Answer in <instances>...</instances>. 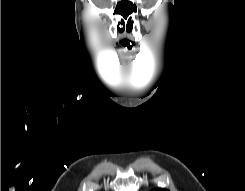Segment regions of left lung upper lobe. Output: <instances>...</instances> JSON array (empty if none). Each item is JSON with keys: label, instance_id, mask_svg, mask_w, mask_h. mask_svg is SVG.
<instances>
[{"label": "left lung upper lobe", "instance_id": "5c2ea615", "mask_svg": "<svg viewBox=\"0 0 245 191\" xmlns=\"http://www.w3.org/2000/svg\"><path fill=\"white\" fill-rule=\"evenodd\" d=\"M152 191H167V190H161V189H154Z\"/></svg>", "mask_w": 245, "mask_h": 191}]
</instances>
